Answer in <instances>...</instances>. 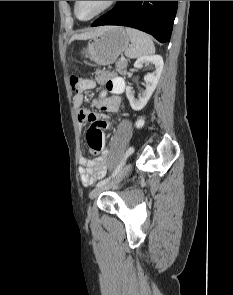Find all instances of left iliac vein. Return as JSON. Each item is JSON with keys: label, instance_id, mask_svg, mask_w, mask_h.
<instances>
[{"label": "left iliac vein", "instance_id": "obj_1", "mask_svg": "<svg viewBox=\"0 0 233 295\" xmlns=\"http://www.w3.org/2000/svg\"><path fill=\"white\" fill-rule=\"evenodd\" d=\"M131 168V164H127L122 171L118 174V176L110 183H106L102 186L96 187L95 189H93L90 194H89V198L90 200H94L95 198H97L103 191L111 188L112 186L116 185L117 183H119L121 180L124 179V177L128 174L129 170ZM91 206H89L88 208V213L91 214Z\"/></svg>", "mask_w": 233, "mask_h": 295}]
</instances>
